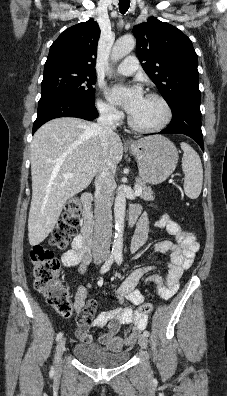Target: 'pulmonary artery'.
<instances>
[{"label": "pulmonary artery", "mask_w": 227, "mask_h": 396, "mask_svg": "<svg viewBox=\"0 0 227 396\" xmlns=\"http://www.w3.org/2000/svg\"><path fill=\"white\" fill-rule=\"evenodd\" d=\"M138 67L137 58L135 56H128L118 65L116 71L122 75H131Z\"/></svg>", "instance_id": "e3ab8cb5"}]
</instances>
